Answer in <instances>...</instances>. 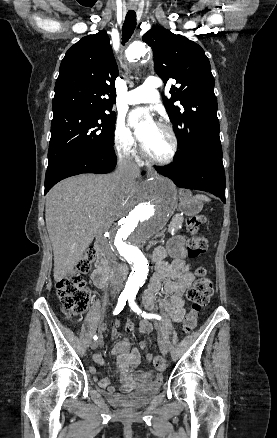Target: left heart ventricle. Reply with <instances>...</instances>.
Returning <instances> with one entry per match:
<instances>
[{
	"mask_svg": "<svg viewBox=\"0 0 277 438\" xmlns=\"http://www.w3.org/2000/svg\"><path fill=\"white\" fill-rule=\"evenodd\" d=\"M143 145L150 156L158 159H166L172 150L170 137L156 125L147 128Z\"/></svg>",
	"mask_w": 277,
	"mask_h": 438,
	"instance_id": "left-heart-ventricle-1",
	"label": "left heart ventricle"
}]
</instances>
